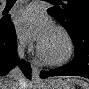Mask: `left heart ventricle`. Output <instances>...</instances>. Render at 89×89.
I'll return each mask as SVG.
<instances>
[{
    "instance_id": "left-heart-ventricle-1",
    "label": "left heart ventricle",
    "mask_w": 89,
    "mask_h": 89,
    "mask_svg": "<svg viewBox=\"0 0 89 89\" xmlns=\"http://www.w3.org/2000/svg\"><path fill=\"white\" fill-rule=\"evenodd\" d=\"M46 55L53 59L62 57L66 52V42L61 34L53 30L41 44Z\"/></svg>"
}]
</instances>
